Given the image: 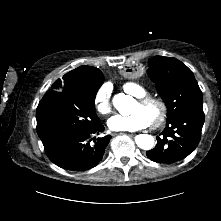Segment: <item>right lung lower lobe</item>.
<instances>
[{
	"label": "right lung lower lobe",
	"instance_id": "1",
	"mask_svg": "<svg viewBox=\"0 0 221 221\" xmlns=\"http://www.w3.org/2000/svg\"><path fill=\"white\" fill-rule=\"evenodd\" d=\"M104 131L99 121L88 131L76 133L62 142L45 149L49 159L61 168L72 171H86L98 165L111 139L110 135L98 136Z\"/></svg>",
	"mask_w": 221,
	"mask_h": 221
}]
</instances>
